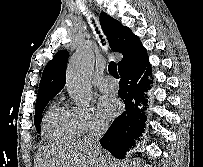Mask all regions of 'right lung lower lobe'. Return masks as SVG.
<instances>
[{"mask_svg":"<svg viewBox=\"0 0 203 167\" xmlns=\"http://www.w3.org/2000/svg\"><path fill=\"white\" fill-rule=\"evenodd\" d=\"M150 72L148 57L119 72L121 81L118 94L124 101L126 110L113 121L100 140V144L116 158H123L126 151L132 147L133 140L143 131L146 117L138 106L141 102L145 104L144 91L150 89L152 84V81L147 80Z\"/></svg>","mask_w":203,"mask_h":167,"instance_id":"98d812e1","label":"right lung lower lobe"}]
</instances>
